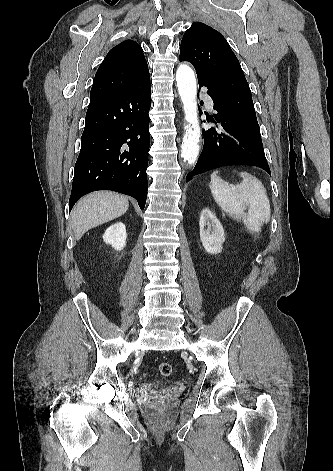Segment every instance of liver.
<instances>
[{"label": "liver", "instance_id": "obj_1", "mask_svg": "<svg viewBox=\"0 0 333 471\" xmlns=\"http://www.w3.org/2000/svg\"><path fill=\"white\" fill-rule=\"evenodd\" d=\"M129 207L128 198L111 191H99L78 201L72 213L71 227L79 240L88 230L122 216Z\"/></svg>", "mask_w": 333, "mask_h": 471}]
</instances>
